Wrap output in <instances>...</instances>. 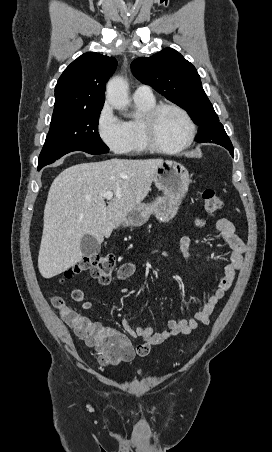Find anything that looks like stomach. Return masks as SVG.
Segmentation results:
<instances>
[{"mask_svg":"<svg viewBox=\"0 0 272 452\" xmlns=\"http://www.w3.org/2000/svg\"><path fill=\"white\" fill-rule=\"evenodd\" d=\"M188 170L180 163L165 160L157 167L153 176L155 187L163 192L152 203L136 205L124 218L125 227H139L145 224L151 215L161 222L172 220L178 212L182 199L190 184Z\"/></svg>","mask_w":272,"mask_h":452,"instance_id":"0dacf381","label":"stomach"}]
</instances>
